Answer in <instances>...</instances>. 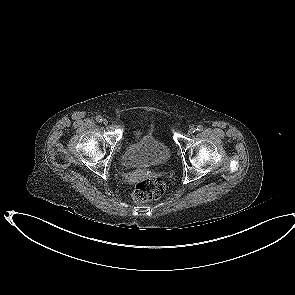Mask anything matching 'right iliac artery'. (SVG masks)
Instances as JSON below:
<instances>
[{"label":"right iliac artery","mask_w":295,"mask_h":295,"mask_svg":"<svg viewBox=\"0 0 295 295\" xmlns=\"http://www.w3.org/2000/svg\"><path fill=\"white\" fill-rule=\"evenodd\" d=\"M96 121H97V122H102V117H101V116H97V117H96Z\"/></svg>","instance_id":"1"}]
</instances>
